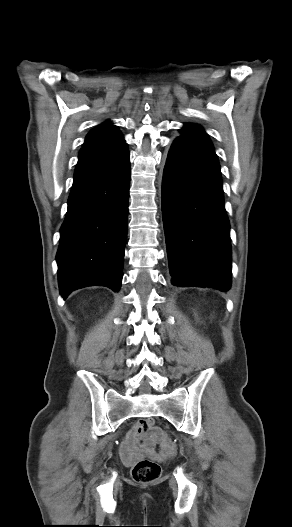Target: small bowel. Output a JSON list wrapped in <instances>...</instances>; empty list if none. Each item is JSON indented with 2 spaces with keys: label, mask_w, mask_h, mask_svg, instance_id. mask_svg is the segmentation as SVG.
<instances>
[{
  "label": "small bowel",
  "mask_w": 292,
  "mask_h": 527,
  "mask_svg": "<svg viewBox=\"0 0 292 527\" xmlns=\"http://www.w3.org/2000/svg\"><path fill=\"white\" fill-rule=\"evenodd\" d=\"M155 434L159 439L158 451L154 449L153 442L145 436L141 424L136 425L128 432L125 440L120 446V455L124 461V467L126 469H131L134 460L140 459L147 454L152 457L151 461L154 464L159 463L162 458H164V461H167L166 457L172 455L173 447L164 435V429L162 427H157L155 429Z\"/></svg>",
  "instance_id": "1"
}]
</instances>
